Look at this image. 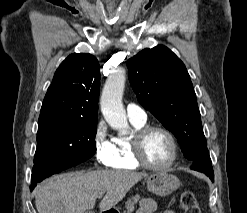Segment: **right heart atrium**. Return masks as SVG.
Returning a JSON list of instances; mask_svg holds the SVG:
<instances>
[{
  "label": "right heart atrium",
  "mask_w": 247,
  "mask_h": 213,
  "mask_svg": "<svg viewBox=\"0 0 247 213\" xmlns=\"http://www.w3.org/2000/svg\"><path fill=\"white\" fill-rule=\"evenodd\" d=\"M96 160L103 166H111L115 157L114 138L111 137L104 121L98 122L93 134Z\"/></svg>",
  "instance_id": "right-heart-atrium-1"
}]
</instances>
